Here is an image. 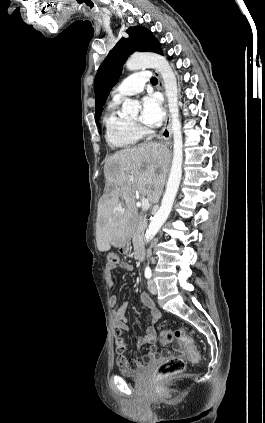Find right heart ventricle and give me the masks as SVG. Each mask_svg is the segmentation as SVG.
I'll return each mask as SVG.
<instances>
[{
    "label": "right heart ventricle",
    "mask_w": 265,
    "mask_h": 423,
    "mask_svg": "<svg viewBox=\"0 0 265 423\" xmlns=\"http://www.w3.org/2000/svg\"><path fill=\"white\" fill-rule=\"evenodd\" d=\"M119 100H111L106 108L103 124L107 143L114 148H130L137 144L140 132L136 126L119 112Z\"/></svg>",
    "instance_id": "obj_1"
}]
</instances>
